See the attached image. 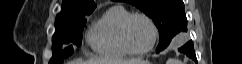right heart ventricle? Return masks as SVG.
<instances>
[{
    "label": "right heart ventricle",
    "instance_id": "right-heart-ventricle-1",
    "mask_svg": "<svg viewBox=\"0 0 242 64\" xmlns=\"http://www.w3.org/2000/svg\"><path fill=\"white\" fill-rule=\"evenodd\" d=\"M129 13L125 7L114 5L92 24L87 33V41L95 53L109 58L129 55L119 37L121 23Z\"/></svg>",
    "mask_w": 242,
    "mask_h": 64
}]
</instances>
